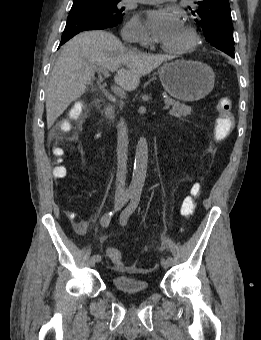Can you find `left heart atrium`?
I'll return each instance as SVG.
<instances>
[{
    "label": "left heart atrium",
    "instance_id": "obj_1",
    "mask_svg": "<svg viewBox=\"0 0 261 340\" xmlns=\"http://www.w3.org/2000/svg\"><path fill=\"white\" fill-rule=\"evenodd\" d=\"M146 23L154 39L163 45L182 27L179 14L171 8L149 10Z\"/></svg>",
    "mask_w": 261,
    "mask_h": 340
}]
</instances>
